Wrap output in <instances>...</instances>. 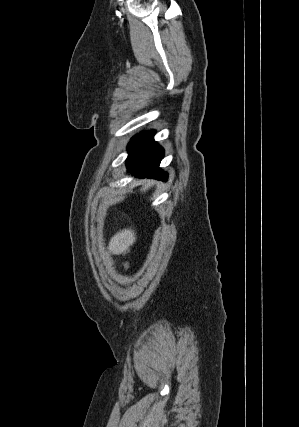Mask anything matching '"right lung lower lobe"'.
<instances>
[{"mask_svg":"<svg viewBox=\"0 0 299 427\" xmlns=\"http://www.w3.org/2000/svg\"><path fill=\"white\" fill-rule=\"evenodd\" d=\"M126 165L132 174L165 181L167 174L159 168L163 149L154 141L153 132H142L128 145Z\"/></svg>","mask_w":299,"mask_h":427,"instance_id":"right-lung-lower-lobe-1","label":"right lung lower lobe"}]
</instances>
